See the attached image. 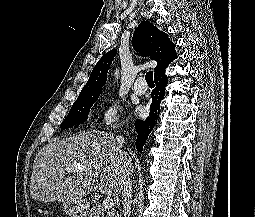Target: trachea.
Returning a JSON list of instances; mask_svg holds the SVG:
<instances>
[{"label": "trachea", "mask_w": 255, "mask_h": 217, "mask_svg": "<svg viewBox=\"0 0 255 217\" xmlns=\"http://www.w3.org/2000/svg\"><path fill=\"white\" fill-rule=\"evenodd\" d=\"M146 82L149 85H154V80H153V71L147 72L145 76Z\"/></svg>", "instance_id": "obj_1"}]
</instances>
